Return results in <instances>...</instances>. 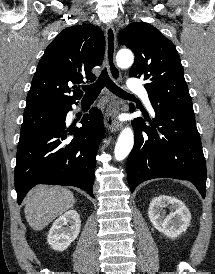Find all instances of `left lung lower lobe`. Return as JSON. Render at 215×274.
I'll use <instances>...</instances> for the list:
<instances>
[{
  "label": "left lung lower lobe",
  "instance_id": "obj_1",
  "mask_svg": "<svg viewBox=\"0 0 215 274\" xmlns=\"http://www.w3.org/2000/svg\"><path fill=\"white\" fill-rule=\"evenodd\" d=\"M151 104L156 117L145 118L151 126L140 117L133 123L135 144L127 160L131 192L146 180L168 177L191 181L205 198L206 162L194 112Z\"/></svg>",
  "mask_w": 215,
  "mask_h": 274
}]
</instances>
